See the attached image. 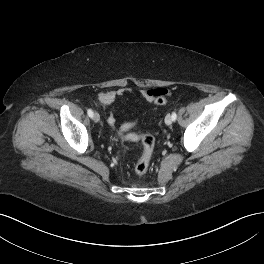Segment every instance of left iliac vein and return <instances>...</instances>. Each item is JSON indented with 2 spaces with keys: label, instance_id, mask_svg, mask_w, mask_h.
I'll return each mask as SVG.
<instances>
[{
  "label": "left iliac vein",
  "instance_id": "obj_1",
  "mask_svg": "<svg viewBox=\"0 0 264 264\" xmlns=\"http://www.w3.org/2000/svg\"><path fill=\"white\" fill-rule=\"evenodd\" d=\"M172 122H173V120H172V116H171L170 114L166 115V117H165V123H166L167 125H171Z\"/></svg>",
  "mask_w": 264,
  "mask_h": 264
}]
</instances>
